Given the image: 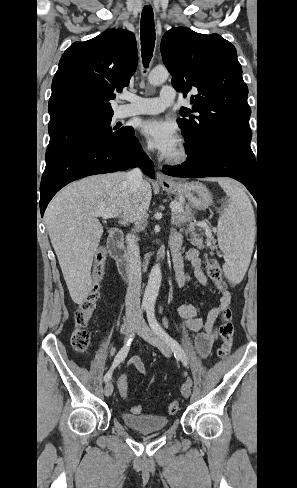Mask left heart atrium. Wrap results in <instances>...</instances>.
Segmentation results:
<instances>
[{
	"instance_id": "left-heart-atrium-1",
	"label": "left heart atrium",
	"mask_w": 297,
	"mask_h": 488,
	"mask_svg": "<svg viewBox=\"0 0 297 488\" xmlns=\"http://www.w3.org/2000/svg\"><path fill=\"white\" fill-rule=\"evenodd\" d=\"M142 134L164 157H169L179 145L176 125L170 120L151 118L141 123Z\"/></svg>"
}]
</instances>
